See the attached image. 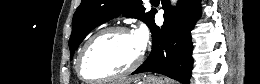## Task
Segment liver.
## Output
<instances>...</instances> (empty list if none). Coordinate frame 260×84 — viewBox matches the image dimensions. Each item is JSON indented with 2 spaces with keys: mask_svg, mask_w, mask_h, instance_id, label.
Returning <instances> with one entry per match:
<instances>
[{
  "mask_svg": "<svg viewBox=\"0 0 260 84\" xmlns=\"http://www.w3.org/2000/svg\"><path fill=\"white\" fill-rule=\"evenodd\" d=\"M129 83H130V81H127V82H126V84H129Z\"/></svg>",
  "mask_w": 260,
  "mask_h": 84,
  "instance_id": "liver-1",
  "label": "liver"
}]
</instances>
